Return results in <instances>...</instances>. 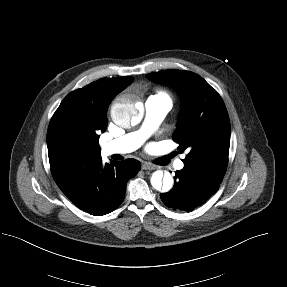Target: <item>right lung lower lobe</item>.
<instances>
[{"mask_svg":"<svg viewBox=\"0 0 287 287\" xmlns=\"http://www.w3.org/2000/svg\"><path fill=\"white\" fill-rule=\"evenodd\" d=\"M141 168L139 161L97 162L67 197L81 210L101 216L115 210L125 197L127 181Z\"/></svg>","mask_w":287,"mask_h":287,"instance_id":"obj_1","label":"right lung lower lobe"}]
</instances>
